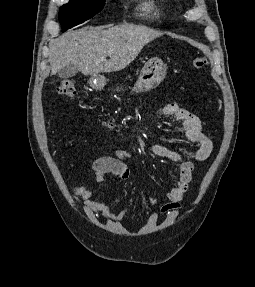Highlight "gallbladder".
<instances>
[{"label":"gallbladder","instance_id":"1","mask_svg":"<svg viewBox=\"0 0 255 287\" xmlns=\"http://www.w3.org/2000/svg\"><path fill=\"white\" fill-rule=\"evenodd\" d=\"M79 72L77 66H65V68H61L58 72L59 78H71V76H75Z\"/></svg>","mask_w":255,"mask_h":287}]
</instances>
